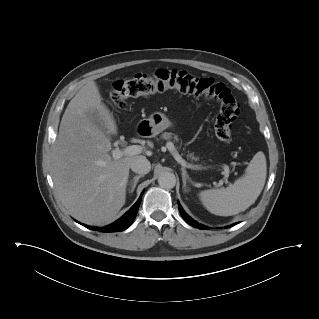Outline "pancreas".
<instances>
[{"label": "pancreas", "mask_w": 319, "mask_h": 319, "mask_svg": "<svg viewBox=\"0 0 319 319\" xmlns=\"http://www.w3.org/2000/svg\"><path fill=\"white\" fill-rule=\"evenodd\" d=\"M161 138L165 139V140H172L175 142H178L179 141V138L177 135H175L174 133H171V132H164L162 135H161ZM187 159H190V160H194V161H198L199 160V157H196L194 155V153H189L187 154Z\"/></svg>", "instance_id": "obj_1"}]
</instances>
